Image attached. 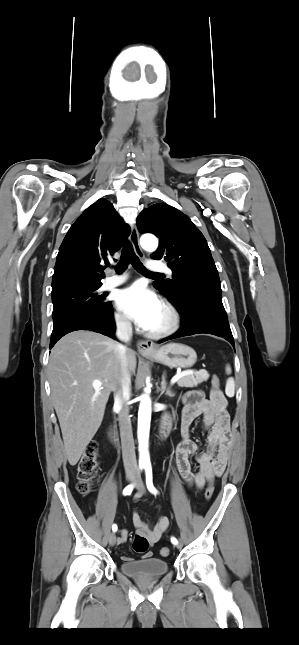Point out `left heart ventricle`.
I'll list each match as a JSON object with an SVG mask.
<instances>
[{
    "label": "left heart ventricle",
    "mask_w": 299,
    "mask_h": 645,
    "mask_svg": "<svg viewBox=\"0 0 299 645\" xmlns=\"http://www.w3.org/2000/svg\"><path fill=\"white\" fill-rule=\"evenodd\" d=\"M165 321H166L165 314H164L163 310H161V312L158 315L156 321L154 322V324L151 326V328L149 330H156V329L161 328L165 324Z\"/></svg>",
    "instance_id": "1"
}]
</instances>
